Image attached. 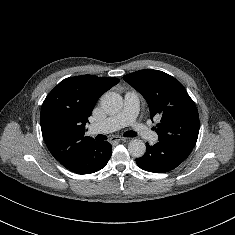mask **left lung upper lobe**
Masks as SVG:
<instances>
[{
    "mask_svg": "<svg viewBox=\"0 0 235 235\" xmlns=\"http://www.w3.org/2000/svg\"><path fill=\"white\" fill-rule=\"evenodd\" d=\"M123 79L146 99L151 119L159 117L156 133L160 141L194 148L199 133V115L184 86L158 70H140Z\"/></svg>",
    "mask_w": 235,
    "mask_h": 235,
    "instance_id": "obj_1",
    "label": "left lung upper lobe"
}]
</instances>
